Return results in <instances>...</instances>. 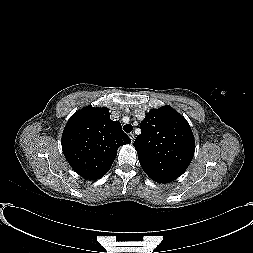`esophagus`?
Wrapping results in <instances>:
<instances>
[{"label": "esophagus", "mask_w": 253, "mask_h": 253, "mask_svg": "<svg viewBox=\"0 0 253 253\" xmlns=\"http://www.w3.org/2000/svg\"><path fill=\"white\" fill-rule=\"evenodd\" d=\"M129 137H130V139H131V142L133 143V142H134V139H135V134H134V132H131V133L129 134Z\"/></svg>", "instance_id": "1"}]
</instances>
